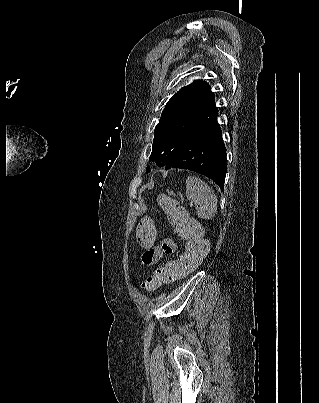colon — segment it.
<instances>
[{
	"mask_svg": "<svg viewBox=\"0 0 319 403\" xmlns=\"http://www.w3.org/2000/svg\"><path fill=\"white\" fill-rule=\"evenodd\" d=\"M161 201L168 210L176 235L185 242V249L176 261L156 269L146 278L142 287L147 292H152L161 284L171 283L181 275L193 271L206 256L209 248L199 223L186 216L184 210L170 198L162 197ZM136 227L135 239L139 250L144 247H154V243H159L160 221H155V218H136ZM142 262L148 264L143 256Z\"/></svg>",
	"mask_w": 319,
	"mask_h": 403,
	"instance_id": "5ec220e1",
	"label": "colon"
}]
</instances>
